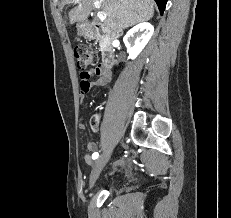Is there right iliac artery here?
I'll list each match as a JSON object with an SVG mask.
<instances>
[{
  "label": "right iliac artery",
  "mask_w": 231,
  "mask_h": 218,
  "mask_svg": "<svg viewBox=\"0 0 231 218\" xmlns=\"http://www.w3.org/2000/svg\"><path fill=\"white\" fill-rule=\"evenodd\" d=\"M98 156H99V154L97 152H95V153H93L92 158L95 160L98 158Z\"/></svg>",
  "instance_id": "1"
}]
</instances>
